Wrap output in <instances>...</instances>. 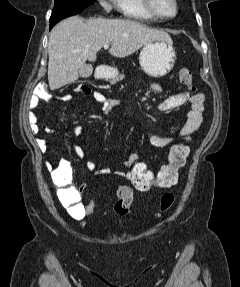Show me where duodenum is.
<instances>
[{
  "label": "duodenum",
  "instance_id": "duodenum-1",
  "mask_svg": "<svg viewBox=\"0 0 240 287\" xmlns=\"http://www.w3.org/2000/svg\"><path fill=\"white\" fill-rule=\"evenodd\" d=\"M110 73L111 71H110L109 66L105 64H101L97 66L95 77L97 79H104V78L109 77Z\"/></svg>",
  "mask_w": 240,
  "mask_h": 287
}]
</instances>
